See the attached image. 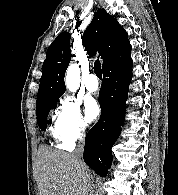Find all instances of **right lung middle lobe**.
<instances>
[{
  "label": "right lung middle lobe",
  "mask_w": 178,
  "mask_h": 195,
  "mask_svg": "<svg viewBox=\"0 0 178 195\" xmlns=\"http://www.w3.org/2000/svg\"><path fill=\"white\" fill-rule=\"evenodd\" d=\"M56 103V100L47 101L44 103H41L37 106V124L39 125L41 130H46L47 127V116L49 114L50 109L53 107V105Z\"/></svg>",
  "instance_id": "obj_1"
}]
</instances>
